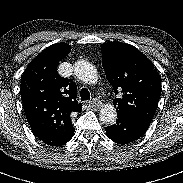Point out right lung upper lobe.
<instances>
[{
    "mask_svg": "<svg viewBox=\"0 0 183 183\" xmlns=\"http://www.w3.org/2000/svg\"><path fill=\"white\" fill-rule=\"evenodd\" d=\"M71 51L66 43L44 49L21 77V99L31 130L42 141L64 140L74 134L71 115L81 112L76 84L57 73V65Z\"/></svg>",
    "mask_w": 183,
    "mask_h": 183,
    "instance_id": "obj_1",
    "label": "right lung upper lobe"
}]
</instances>
